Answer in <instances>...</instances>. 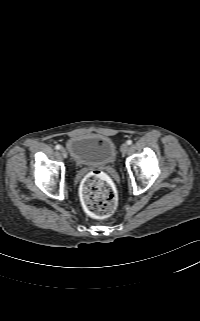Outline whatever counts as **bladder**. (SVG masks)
Wrapping results in <instances>:
<instances>
[{"label": "bladder", "instance_id": "bladder-1", "mask_svg": "<svg viewBox=\"0 0 200 321\" xmlns=\"http://www.w3.org/2000/svg\"><path fill=\"white\" fill-rule=\"evenodd\" d=\"M67 151L79 165H107L115 161L116 146L111 138L100 134H82L67 141Z\"/></svg>", "mask_w": 200, "mask_h": 321}]
</instances>
